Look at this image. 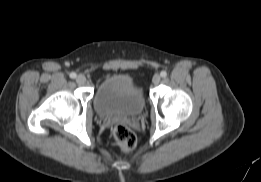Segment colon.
<instances>
[{
  "label": "colon",
  "mask_w": 261,
  "mask_h": 182,
  "mask_svg": "<svg viewBox=\"0 0 261 182\" xmlns=\"http://www.w3.org/2000/svg\"><path fill=\"white\" fill-rule=\"evenodd\" d=\"M114 143L124 151L135 148L137 139L135 134L125 125L118 124L113 128Z\"/></svg>",
  "instance_id": "5ec220e1"
}]
</instances>
